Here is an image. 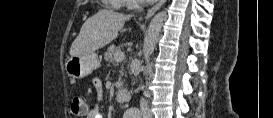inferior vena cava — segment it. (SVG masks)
Wrapping results in <instances>:
<instances>
[{"label":"inferior vena cava","mask_w":273,"mask_h":118,"mask_svg":"<svg viewBox=\"0 0 273 118\" xmlns=\"http://www.w3.org/2000/svg\"><path fill=\"white\" fill-rule=\"evenodd\" d=\"M140 110L142 112L143 118H151V112L148 108V104L143 98L140 100Z\"/></svg>","instance_id":"1"}]
</instances>
